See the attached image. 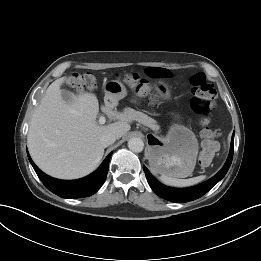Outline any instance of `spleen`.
<instances>
[{
  "label": "spleen",
  "mask_w": 261,
  "mask_h": 261,
  "mask_svg": "<svg viewBox=\"0 0 261 261\" xmlns=\"http://www.w3.org/2000/svg\"><path fill=\"white\" fill-rule=\"evenodd\" d=\"M160 179L162 180L163 183L166 185L174 186V187H186V186H191L194 184H197L201 182L202 180L205 179L204 175L189 178V179H177L173 178L167 175H161Z\"/></svg>",
  "instance_id": "obj_1"
}]
</instances>
